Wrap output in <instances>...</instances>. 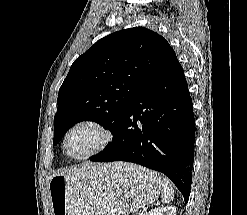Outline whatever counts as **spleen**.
<instances>
[{"label":"spleen","instance_id":"1","mask_svg":"<svg viewBox=\"0 0 247 215\" xmlns=\"http://www.w3.org/2000/svg\"><path fill=\"white\" fill-rule=\"evenodd\" d=\"M162 202L168 203L174 198V189L167 178L161 180Z\"/></svg>","mask_w":247,"mask_h":215}]
</instances>
